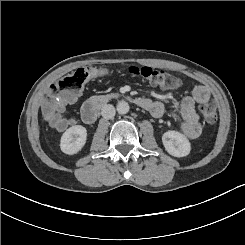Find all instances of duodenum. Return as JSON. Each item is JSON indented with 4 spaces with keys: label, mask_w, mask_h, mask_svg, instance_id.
Segmentation results:
<instances>
[{
    "label": "duodenum",
    "mask_w": 245,
    "mask_h": 245,
    "mask_svg": "<svg viewBox=\"0 0 245 245\" xmlns=\"http://www.w3.org/2000/svg\"><path fill=\"white\" fill-rule=\"evenodd\" d=\"M111 99H112L111 96H96L90 99L82 108L81 111L82 120L86 124L94 123L97 120L102 108L106 104H108L111 101ZM131 100L137 106L146 110H150L153 106L152 101L146 98L135 97V98H131Z\"/></svg>",
    "instance_id": "duodenum-1"
}]
</instances>
